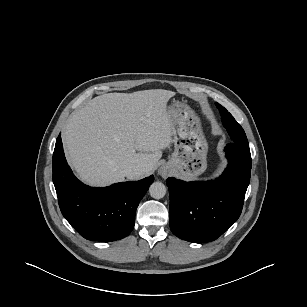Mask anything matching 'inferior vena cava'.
<instances>
[{
    "label": "inferior vena cava",
    "instance_id": "1",
    "mask_svg": "<svg viewBox=\"0 0 307 307\" xmlns=\"http://www.w3.org/2000/svg\"><path fill=\"white\" fill-rule=\"evenodd\" d=\"M142 171L143 170L141 168H129V169L124 170V174L128 178H132L134 176L140 175Z\"/></svg>",
    "mask_w": 307,
    "mask_h": 307
}]
</instances>
